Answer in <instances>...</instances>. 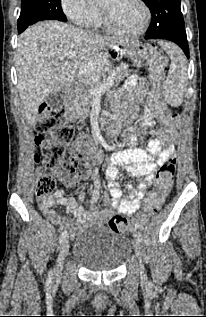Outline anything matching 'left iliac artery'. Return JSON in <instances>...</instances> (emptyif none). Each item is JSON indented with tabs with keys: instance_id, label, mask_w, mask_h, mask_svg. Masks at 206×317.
I'll list each match as a JSON object with an SVG mask.
<instances>
[{
	"instance_id": "left-iliac-artery-1",
	"label": "left iliac artery",
	"mask_w": 206,
	"mask_h": 317,
	"mask_svg": "<svg viewBox=\"0 0 206 317\" xmlns=\"http://www.w3.org/2000/svg\"><path fill=\"white\" fill-rule=\"evenodd\" d=\"M135 236L137 237L139 241H142V234L140 231H138Z\"/></svg>"
}]
</instances>
